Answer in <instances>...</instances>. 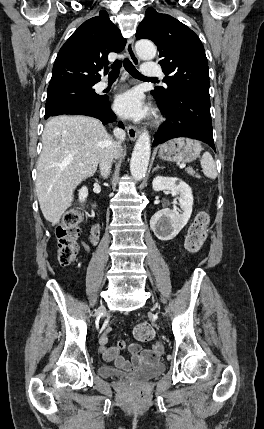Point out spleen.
<instances>
[{"instance_id":"3e777b00","label":"spleen","mask_w":264,"mask_h":429,"mask_svg":"<svg viewBox=\"0 0 264 429\" xmlns=\"http://www.w3.org/2000/svg\"><path fill=\"white\" fill-rule=\"evenodd\" d=\"M201 166L204 175L210 179H215L217 177V170L213 157L209 152H205L201 158Z\"/></svg>"}]
</instances>
